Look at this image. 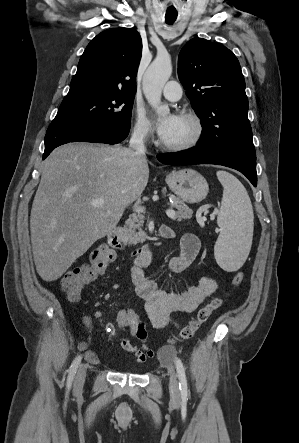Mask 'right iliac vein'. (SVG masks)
<instances>
[{"label": "right iliac vein", "instance_id": "1", "mask_svg": "<svg viewBox=\"0 0 299 443\" xmlns=\"http://www.w3.org/2000/svg\"><path fill=\"white\" fill-rule=\"evenodd\" d=\"M85 378H86V366H81L78 370L74 385L77 389H80L84 382H85Z\"/></svg>", "mask_w": 299, "mask_h": 443}]
</instances>
